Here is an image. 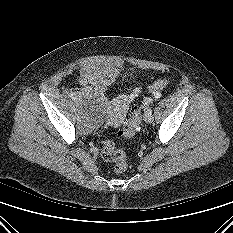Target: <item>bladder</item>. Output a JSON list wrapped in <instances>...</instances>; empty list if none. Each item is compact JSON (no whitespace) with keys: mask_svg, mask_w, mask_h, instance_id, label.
<instances>
[{"mask_svg":"<svg viewBox=\"0 0 233 233\" xmlns=\"http://www.w3.org/2000/svg\"><path fill=\"white\" fill-rule=\"evenodd\" d=\"M118 75L116 69L106 66H88L82 70V79L90 84L78 93L82 123L86 131L101 127L109 118L106 98L94 83H109Z\"/></svg>","mask_w":233,"mask_h":233,"instance_id":"obj_1","label":"bladder"}]
</instances>
